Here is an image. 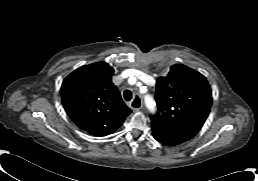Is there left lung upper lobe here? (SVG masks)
<instances>
[{
	"mask_svg": "<svg viewBox=\"0 0 258 181\" xmlns=\"http://www.w3.org/2000/svg\"><path fill=\"white\" fill-rule=\"evenodd\" d=\"M155 99L159 112L151 116L152 126L193 138L208 117L212 93L202 74L175 64L157 79Z\"/></svg>",
	"mask_w": 258,
	"mask_h": 181,
	"instance_id": "1",
	"label": "left lung upper lobe"
}]
</instances>
